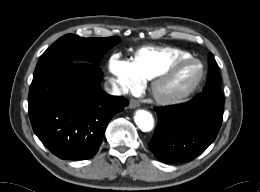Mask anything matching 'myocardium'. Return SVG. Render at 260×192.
<instances>
[{
	"instance_id": "obj_1",
	"label": "myocardium",
	"mask_w": 260,
	"mask_h": 192,
	"mask_svg": "<svg viewBox=\"0 0 260 192\" xmlns=\"http://www.w3.org/2000/svg\"><path fill=\"white\" fill-rule=\"evenodd\" d=\"M188 65H194L198 68L197 77L190 85H188L187 87L183 88L178 92L169 95H160L157 92V88L159 87V85H161L163 82L168 80L180 68ZM203 78H204V68L200 61L193 58L182 59L173 63L166 70H164L163 72H161L160 74L156 75L151 79L149 85V94L155 102L162 105L177 103L190 96L199 87Z\"/></svg>"
}]
</instances>
